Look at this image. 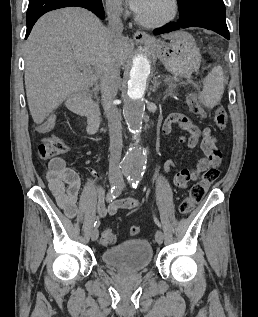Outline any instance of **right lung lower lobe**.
<instances>
[{
  "label": "right lung lower lobe",
  "mask_w": 258,
  "mask_h": 317,
  "mask_svg": "<svg viewBox=\"0 0 258 317\" xmlns=\"http://www.w3.org/2000/svg\"><path fill=\"white\" fill-rule=\"evenodd\" d=\"M71 6L86 8L96 14L99 18H105L101 0H29V6L26 15L27 31L25 39H27L35 22L43 14L51 10Z\"/></svg>",
  "instance_id": "obj_1"
}]
</instances>
